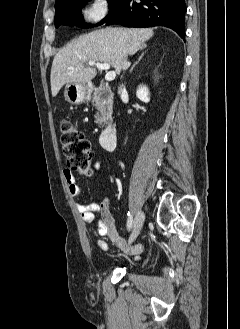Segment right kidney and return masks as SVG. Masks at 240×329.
<instances>
[{
  "label": "right kidney",
  "mask_w": 240,
  "mask_h": 329,
  "mask_svg": "<svg viewBox=\"0 0 240 329\" xmlns=\"http://www.w3.org/2000/svg\"><path fill=\"white\" fill-rule=\"evenodd\" d=\"M136 96L145 103L150 101L149 90L146 86H139L136 91Z\"/></svg>",
  "instance_id": "1"
}]
</instances>
